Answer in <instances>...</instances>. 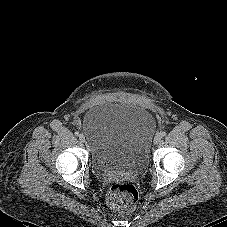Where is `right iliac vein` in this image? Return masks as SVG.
Segmentation results:
<instances>
[{"label": "right iliac vein", "mask_w": 227, "mask_h": 227, "mask_svg": "<svg viewBox=\"0 0 227 227\" xmlns=\"http://www.w3.org/2000/svg\"><path fill=\"white\" fill-rule=\"evenodd\" d=\"M79 139H80V141L83 142V143L86 141V138H85V136H84L83 134H80V135H79Z\"/></svg>", "instance_id": "right-iliac-vein-1"}]
</instances>
